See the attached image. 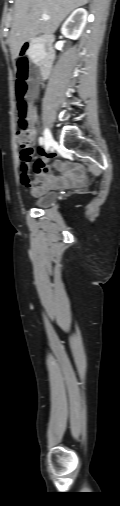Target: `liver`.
I'll use <instances>...</instances> for the list:
<instances>
[{
	"instance_id": "6515ba94",
	"label": "liver",
	"mask_w": 120,
	"mask_h": 506,
	"mask_svg": "<svg viewBox=\"0 0 120 506\" xmlns=\"http://www.w3.org/2000/svg\"><path fill=\"white\" fill-rule=\"evenodd\" d=\"M89 1L16 0L9 36L12 57H18L22 46L30 38L38 34L51 35L70 12ZM43 14L50 19L42 20Z\"/></svg>"
}]
</instances>
